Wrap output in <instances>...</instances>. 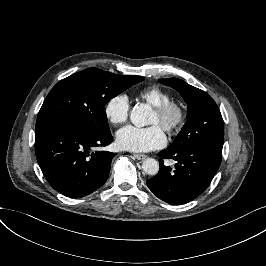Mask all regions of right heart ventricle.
<instances>
[{
    "label": "right heart ventricle",
    "mask_w": 266,
    "mask_h": 266,
    "mask_svg": "<svg viewBox=\"0 0 266 266\" xmlns=\"http://www.w3.org/2000/svg\"><path fill=\"white\" fill-rule=\"evenodd\" d=\"M138 98L155 107L172 99V95L166 89L159 86H149L138 92Z\"/></svg>",
    "instance_id": "right-heart-ventricle-1"
}]
</instances>
